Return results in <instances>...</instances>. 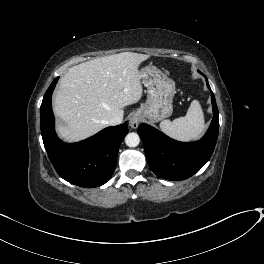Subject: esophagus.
<instances>
[{"instance_id": "obj_1", "label": "esophagus", "mask_w": 264, "mask_h": 264, "mask_svg": "<svg viewBox=\"0 0 264 264\" xmlns=\"http://www.w3.org/2000/svg\"><path fill=\"white\" fill-rule=\"evenodd\" d=\"M140 123V116L138 113H132L129 118V125L132 129H136Z\"/></svg>"}]
</instances>
